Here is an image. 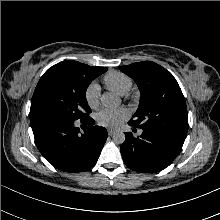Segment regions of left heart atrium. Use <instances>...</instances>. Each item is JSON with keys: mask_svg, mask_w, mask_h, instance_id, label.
Listing matches in <instances>:
<instances>
[{"mask_svg": "<svg viewBox=\"0 0 220 220\" xmlns=\"http://www.w3.org/2000/svg\"><path fill=\"white\" fill-rule=\"evenodd\" d=\"M129 116L126 108H105L96 115V121L99 125L109 128L118 127Z\"/></svg>", "mask_w": 220, "mask_h": 220, "instance_id": "1", "label": "left heart atrium"}]
</instances>
